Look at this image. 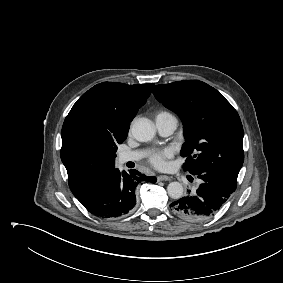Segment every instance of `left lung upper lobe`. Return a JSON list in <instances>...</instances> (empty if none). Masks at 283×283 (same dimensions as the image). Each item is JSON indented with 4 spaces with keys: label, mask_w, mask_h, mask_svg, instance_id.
I'll return each instance as SVG.
<instances>
[{
    "label": "left lung upper lobe",
    "mask_w": 283,
    "mask_h": 283,
    "mask_svg": "<svg viewBox=\"0 0 283 283\" xmlns=\"http://www.w3.org/2000/svg\"><path fill=\"white\" fill-rule=\"evenodd\" d=\"M153 94L183 122L184 169L192 175L216 173L237 180L244 161L243 127L232 105L197 80L159 84Z\"/></svg>",
    "instance_id": "left-lung-upper-lobe-1"
}]
</instances>
